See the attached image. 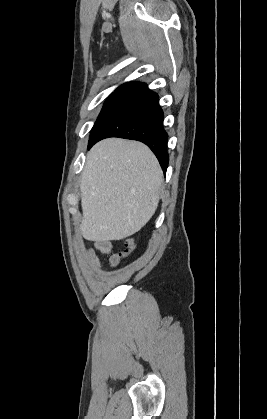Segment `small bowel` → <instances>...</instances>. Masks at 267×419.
Instances as JSON below:
<instances>
[{
	"mask_svg": "<svg viewBox=\"0 0 267 419\" xmlns=\"http://www.w3.org/2000/svg\"><path fill=\"white\" fill-rule=\"evenodd\" d=\"M94 245H95V248L97 250L101 251L102 253H104L108 256V261H109V263L112 267H116L119 264V262H120L119 255L113 250V247L109 242H107V241H97V242H95ZM86 257H87V260L89 261L91 267L94 270H99V268H100L99 259L96 255V253L94 252V250L88 249L86 251Z\"/></svg>",
	"mask_w": 267,
	"mask_h": 419,
	"instance_id": "1",
	"label": "small bowel"
}]
</instances>
